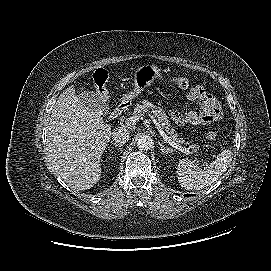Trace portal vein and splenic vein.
Wrapping results in <instances>:
<instances>
[{"label":"portal vein and splenic vein","instance_id":"18ae733b","mask_svg":"<svg viewBox=\"0 0 271 271\" xmlns=\"http://www.w3.org/2000/svg\"><path fill=\"white\" fill-rule=\"evenodd\" d=\"M150 118L152 119V121H153L154 124L156 125V127H157V129H158L160 135L163 137V139H164L168 144H170L173 148H176V149H178L179 151L184 152V153H186V154H188V155H189V154H192V152H190L189 149L184 148V147L178 145L177 143H175L174 141H172V140L170 139V137H168V136L166 135V133L162 130L160 124L157 122V120L155 119L154 116L150 115ZM138 121H139V116H132V117H129V118H127V119L125 120V124L131 126V125H135ZM195 156H196V155H195ZM202 162L206 164V161L202 160Z\"/></svg>","mask_w":271,"mask_h":271}]
</instances>
